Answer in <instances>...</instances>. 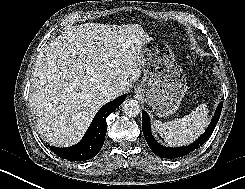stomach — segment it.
<instances>
[{
  "label": "stomach",
  "instance_id": "obj_1",
  "mask_svg": "<svg viewBox=\"0 0 245 189\" xmlns=\"http://www.w3.org/2000/svg\"><path fill=\"white\" fill-rule=\"evenodd\" d=\"M143 77L135 93L158 117L174 114L187 91V78L172 48L156 40L144 41L140 49Z\"/></svg>",
  "mask_w": 245,
  "mask_h": 189
}]
</instances>
